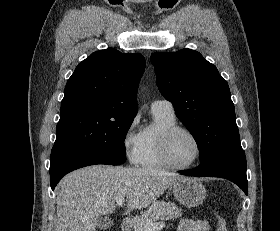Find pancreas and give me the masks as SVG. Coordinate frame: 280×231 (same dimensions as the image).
Here are the masks:
<instances>
[{
  "label": "pancreas",
  "mask_w": 280,
  "mask_h": 231,
  "mask_svg": "<svg viewBox=\"0 0 280 231\" xmlns=\"http://www.w3.org/2000/svg\"><path fill=\"white\" fill-rule=\"evenodd\" d=\"M182 209H179L172 201H154L147 211H141V215L131 219L128 229L125 231H146L147 221H157V219H175L181 217Z\"/></svg>",
  "instance_id": "cf45deb5"
}]
</instances>
